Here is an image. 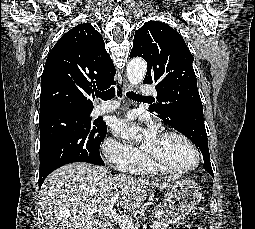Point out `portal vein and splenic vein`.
Masks as SVG:
<instances>
[{"mask_svg":"<svg viewBox=\"0 0 255 229\" xmlns=\"http://www.w3.org/2000/svg\"><path fill=\"white\" fill-rule=\"evenodd\" d=\"M117 198H118V196H115L114 199H117ZM96 214L98 216H108L109 218L122 224L124 227H126V229H138L137 224H134L131 220H129L128 218H126L124 216L117 214L113 210V203H110L109 207L106 210L96 211ZM157 225H158L157 223H153L150 225V227L154 229L155 227H157Z\"/></svg>","mask_w":255,"mask_h":229,"instance_id":"obj_1","label":"portal vein and splenic vein"}]
</instances>
